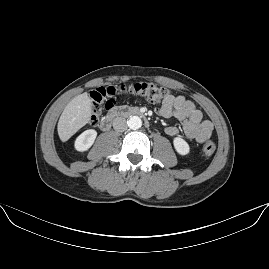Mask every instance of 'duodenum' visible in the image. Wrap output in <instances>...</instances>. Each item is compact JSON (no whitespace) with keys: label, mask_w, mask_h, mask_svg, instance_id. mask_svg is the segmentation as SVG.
Segmentation results:
<instances>
[{"label":"duodenum","mask_w":269,"mask_h":269,"mask_svg":"<svg viewBox=\"0 0 269 269\" xmlns=\"http://www.w3.org/2000/svg\"><path fill=\"white\" fill-rule=\"evenodd\" d=\"M127 116H140L145 118V114L137 107L119 106L109 110L106 116L100 122V128L107 131L111 128L115 119ZM145 125L149 126V121L145 118Z\"/></svg>","instance_id":"obj_1"}]
</instances>
